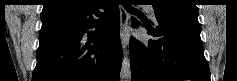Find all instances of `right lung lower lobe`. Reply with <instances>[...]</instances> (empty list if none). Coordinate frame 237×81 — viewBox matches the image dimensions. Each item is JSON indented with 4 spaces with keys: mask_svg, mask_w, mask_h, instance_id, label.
Wrapping results in <instances>:
<instances>
[{
    "mask_svg": "<svg viewBox=\"0 0 237 81\" xmlns=\"http://www.w3.org/2000/svg\"><path fill=\"white\" fill-rule=\"evenodd\" d=\"M119 26L118 5L109 0H89L78 12L42 20L32 81H118Z\"/></svg>",
    "mask_w": 237,
    "mask_h": 81,
    "instance_id": "obj_1",
    "label": "right lung lower lobe"
}]
</instances>
